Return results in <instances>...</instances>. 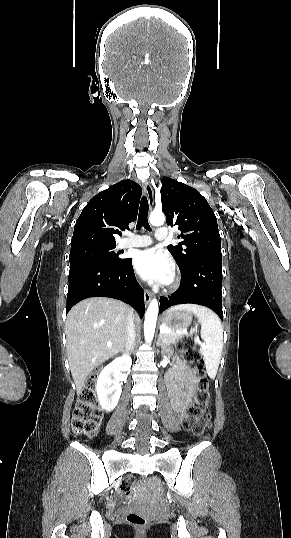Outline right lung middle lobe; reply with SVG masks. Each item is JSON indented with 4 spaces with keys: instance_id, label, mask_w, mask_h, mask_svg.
<instances>
[{
    "instance_id": "dd1d6c3e",
    "label": "right lung middle lobe",
    "mask_w": 291,
    "mask_h": 538,
    "mask_svg": "<svg viewBox=\"0 0 291 538\" xmlns=\"http://www.w3.org/2000/svg\"><path fill=\"white\" fill-rule=\"evenodd\" d=\"M115 247L116 245H89L71 249L70 266L93 262L116 264L124 261L125 259L119 258V253L113 250Z\"/></svg>"
}]
</instances>
